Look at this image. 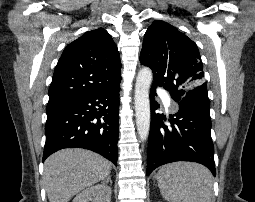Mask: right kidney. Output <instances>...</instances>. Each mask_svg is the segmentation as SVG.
Instances as JSON below:
<instances>
[{"instance_id": "ca27d5eb", "label": "right kidney", "mask_w": 255, "mask_h": 202, "mask_svg": "<svg viewBox=\"0 0 255 202\" xmlns=\"http://www.w3.org/2000/svg\"><path fill=\"white\" fill-rule=\"evenodd\" d=\"M110 200L111 188L103 183L83 190L72 202H110Z\"/></svg>"}]
</instances>
